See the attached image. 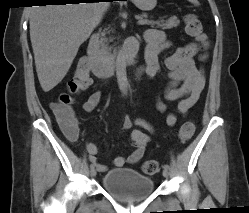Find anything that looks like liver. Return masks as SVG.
I'll use <instances>...</instances> for the list:
<instances>
[{"label":"liver","instance_id":"6515ba94","mask_svg":"<svg viewBox=\"0 0 249 213\" xmlns=\"http://www.w3.org/2000/svg\"><path fill=\"white\" fill-rule=\"evenodd\" d=\"M109 8L108 2L33 6L30 40L36 72L44 92L58 85Z\"/></svg>","mask_w":249,"mask_h":213}]
</instances>
